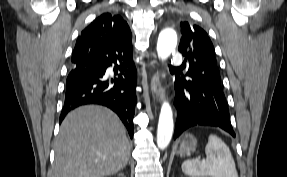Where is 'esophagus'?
<instances>
[{
  "instance_id": "34e87169",
  "label": "esophagus",
  "mask_w": 287,
  "mask_h": 177,
  "mask_svg": "<svg viewBox=\"0 0 287 177\" xmlns=\"http://www.w3.org/2000/svg\"><path fill=\"white\" fill-rule=\"evenodd\" d=\"M152 57L154 59L152 60L151 63H152L153 66H156L157 65V60H156L155 53H152ZM150 90H151L153 98L160 102L161 99H162V88H161L160 77H159L158 71H156L152 75V78H151V81H150Z\"/></svg>"
}]
</instances>
